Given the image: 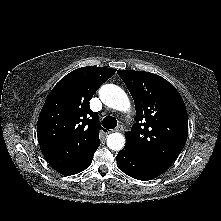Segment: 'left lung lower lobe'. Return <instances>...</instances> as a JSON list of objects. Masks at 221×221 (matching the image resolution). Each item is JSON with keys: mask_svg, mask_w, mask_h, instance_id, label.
I'll list each match as a JSON object with an SVG mask.
<instances>
[{"mask_svg": "<svg viewBox=\"0 0 221 221\" xmlns=\"http://www.w3.org/2000/svg\"><path fill=\"white\" fill-rule=\"evenodd\" d=\"M118 168L138 180H151L164 173L167 168L149 161L124 147L116 157Z\"/></svg>", "mask_w": 221, "mask_h": 221, "instance_id": "obj_1", "label": "left lung lower lobe"}]
</instances>
